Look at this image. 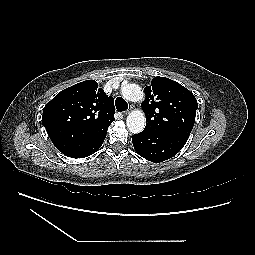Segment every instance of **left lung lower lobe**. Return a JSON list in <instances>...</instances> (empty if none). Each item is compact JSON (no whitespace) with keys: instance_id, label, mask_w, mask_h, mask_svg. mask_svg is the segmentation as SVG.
Returning <instances> with one entry per match:
<instances>
[{"instance_id":"obj_1","label":"left lung lower lobe","mask_w":255,"mask_h":255,"mask_svg":"<svg viewBox=\"0 0 255 255\" xmlns=\"http://www.w3.org/2000/svg\"><path fill=\"white\" fill-rule=\"evenodd\" d=\"M189 136L167 132H145L133 135L132 143L143 158L159 163L176 155L185 145Z\"/></svg>"}]
</instances>
